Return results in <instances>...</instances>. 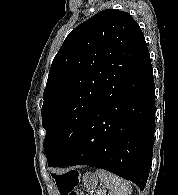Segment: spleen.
<instances>
[{
  "instance_id": "3e777b00",
  "label": "spleen",
  "mask_w": 178,
  "mask_h": 195,
  "mask_svg": "<svg viewBox=\"0 0 178 195\" xmlns=\"http://www.w3.org/2000/svg\"><path fill=\"white\" fill-rule=\"evenodd\" d=\"M97 176L104 183L109 190V195H130L132 188L129 182L122 178L107 172L105 170L98 169L96 171Z\"/></svg>"
}]
</instances>
